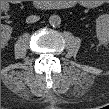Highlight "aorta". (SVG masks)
<instances>
[{"label": "aorta", "instance_id": "aorta-1", "mask_svg": "<svg viewBox=\"0 0 109 109\" xmlns=\"http://www.w3.org/2000/svg\"><path fill=\"white\" fill-rule=\"evenodd\" d=\"M49 23L51 26L56 27L61 24V18L60 16L53 14L49 17Z\"/></svg>", "mask_w": 109, "mask_h": 109}]
</instances>
